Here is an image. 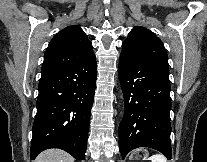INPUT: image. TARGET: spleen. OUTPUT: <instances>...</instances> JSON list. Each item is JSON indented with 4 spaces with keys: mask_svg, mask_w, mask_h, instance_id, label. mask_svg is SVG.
<instances>
[{
    "mask_svg": "<svg viewBox=\"0 0 207 162\" xmlns=\"http://www.w3.org/2000/svg\"><path fill=\"white\" fill-rule=\"evenodd\" d=\"M145 160H151L152 162H167V159L162 154L152 155L149 158H145Z\"/></svg>",
    "mask_w": 207,
    "mask_h": 162,
    "instance_id": "1",
    "label": "spleen"
}]
</instances>
